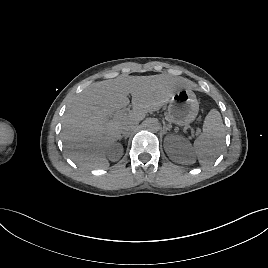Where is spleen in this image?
<instances>
[{"instance_id": "3e777b00", "label": "spleen", "mask_w": 268, "mask_h": 268, "mask_svg": "<svg viewBox=\"0 0 268 268\" xmlns=\"http://www.w3.org/2000/svg\"><path fill=\"white\" fill-rule=\"evenodd\" d=\"M225 128L222 117L216 109L210 110L204 120L203 132L194 142V151L199 163L209 166L220 153L224 144Z\"/></svg>"}]
</instances>
